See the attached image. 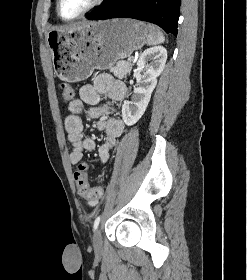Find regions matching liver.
<instances>
[{"label": "liver", "instance_id": "1", "mask_svg": "<svg viewBox=\"0 0 247 280\" xmlns=\"http://www.w3.org/2000/svg\"><path fill=\"white\" fill-rule=\"evenodd\" d=\"M89 23L90 22H87V21L79 22V23H73V24H70V25L65 26V27H60V28L57 29V31L65 32V31H69V30L79 29V28L87 26Z\"/></svg>", "mask_w": 247, "mask_h": 280}]
</instances>
